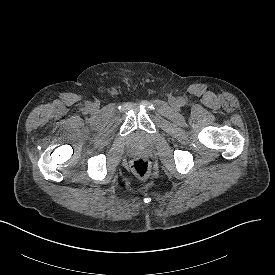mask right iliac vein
<instances>
[{
    "instance_id": "63e3f726",
    "label": "right iliac vein",
    "mask_w": 275,
    "mask_h": 275,
    "mask_svg": "<svg viewBox=\"0 0 275 275\" xmlns=\"http://www.w3.org/2000/svg\"><path fill=\"white\" fill-rule=\"evenodd\" d=\"M98 109V105L97 104H92L91 105V110L96 111Z\"/></svg>"
}]
</instances>
